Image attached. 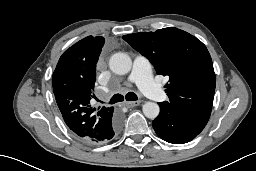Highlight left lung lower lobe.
<instances>
[{"instance_id":"left-lung-lower-lobe-1","label":"left lung lower lobe","mask_w":256,"mask_h":171,"mask_svg":"<svg viewBox=\"0 0 256 171\" xmlns=\"http://www.w3.org/2000/svg\"><path fill=\"white\" fill-rule=\"evenodd\" d=\"M160 114L152 122L157 135L173 144H183L194 139L205 127L187 112L163 103H159Z\"/></svg>"}]
</instances>
